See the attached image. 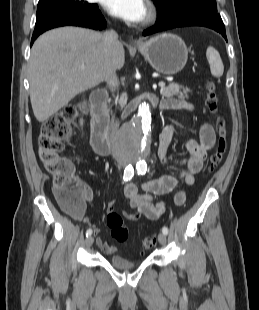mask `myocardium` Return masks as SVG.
Returning <instances> with one entry per match:
<instances>
[{
  "instance_id": "f54148a6",
  "label": "myocardium",
  "mask_w": 259,
  "mask_h": 310,
  "mask_svg": "<svg viewBox=\"0 0 259 310\" xmlns=\"http://www.w3.org/2000/svg\"><path fill=\"white\" fill-rule=\"evenodd\" d=\"M158 17V9L155 4L149 2L146 7L145 17L141 21V26L146 27L153 24Z\"/></svg>"
}]
</instances>
